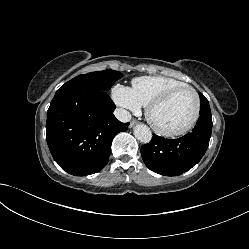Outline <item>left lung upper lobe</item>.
Listing matches in <instances>:
<instances>
[{"instance_id": "1", "label": "left lung upper lobe", "mask_w": 249, "mask_h": 249, "mask_svg": "<svg viewBox=\"0 0 249 249\" xmlns=\"http://www.w3.org/2000/svg\"><path fill=\"white\" fill-rule=\"evenodd\" d=\"M199 96H200V114L201 115H206V114L211 115L208 100L201 93H199Z\"/></svg>"}]
</instances>
